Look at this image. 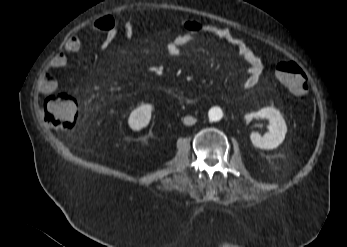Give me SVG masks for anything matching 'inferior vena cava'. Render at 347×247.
<instances>
[{"label":"inferior vena cava","instance_id":"obj_1","mask_svg":"<svg viewBox=\"0 0 347 247\" xmlns=\"http://www.w3.org/2000/svg\"><path fill=\"white\" fill-rule=\"evenodd\" d=\"M196 121H197L196 118H194V117H192V116H186V117L184 118V120H183V123H184L185 125H193V124L196 123Z\"/></svg>","mask_w":347,"mask_h":247}]
</instances>
